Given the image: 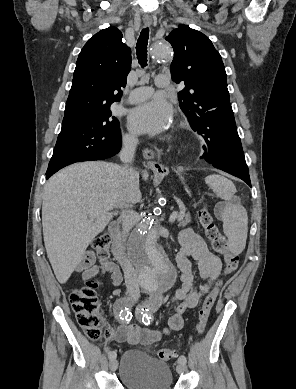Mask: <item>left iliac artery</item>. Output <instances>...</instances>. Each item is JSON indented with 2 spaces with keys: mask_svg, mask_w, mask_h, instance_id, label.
Segmentation results:
<instances>
[{
  "mask_svg": "<svg viewBox=\"0 0 296 389\" xmlns=\"http://www.w3.org/2000/svg\"><path fill=\"white\" fill-rule=\"evenodd\" d=\"M154 312V309L148 305L141 306L140 308L137 309L136 311V317L139 320H142V322L145 325L150 324V320L152 319V313ZM179 363H184L186 364L187 359L184 355H181L178 359Z\"/></svg>",
  "mask_w": 296,
  "mask_h": 389,
  "instance_id": "obj_1",
  "label": "left iliac artery"
}]
</instances>
